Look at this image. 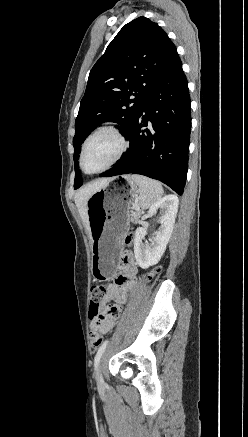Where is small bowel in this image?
Listing matches in <instances>:
<instances>
[{"label":"small bowel","mask_w":248,"mask_h":437,"mask_svg":"<svg viewBox=\"0 0 248 437\" xmlns=\"http://www.w3.org/2000/svg\"><path fill=\"white\" fill-rule=\"evenodd\" d=\"M137 267L134 264L133 254L126 251L122 256V272L113 284L108 285L105 295V303L113 302V305L102 307L103 318L99 321L98 329L101 333H108L115 325L121 313L123 305L126 303L127 291L131 290L137 282ZM112 309V312H110Z\"/></svg>","instance_id":"1"}]
</instances>
